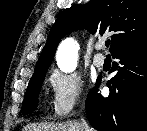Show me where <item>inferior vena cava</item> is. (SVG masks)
<instances>
[{"label":"inferior vena cava","mask_w":147,"mask_h":131,"mask_svg":"<svg viewBox=\"0 0 147 131\" xmlns=\"http://www.w3.org/2000/svg\"><path fill=\"white\" fill-rule=\"evenodd\" d=\"M80 126L82 128V131H90V128L84 118H81Z\"/></svg>","instance_id":"inferior-vena-cava-1"}]
</instances>
